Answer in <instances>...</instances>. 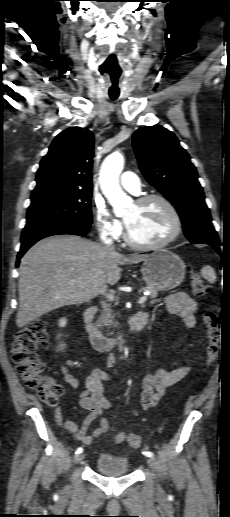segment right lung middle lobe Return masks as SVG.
<instances>
[{
	"instance_id": "dd1d6c3e",
	"label": "right lung middle lobe",
	"mask_w": 230,
	"mask_h": 517,
	"mask_svg": "<svg viewBox=\"0 0 230 517\" xmlns=\"http://www.w3.org/2000/svg\"><path fill=\"white\" fill-rule=\"evenodd\" d=\"M92 190L56 193L31 199L27 224L45 220H65L90 225Z\"/></svg>"
}]
</instances>
